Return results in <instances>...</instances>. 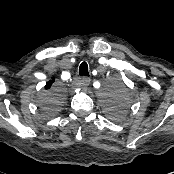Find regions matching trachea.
I'll return each mask as SVG.
<instances>
[{"label": "trachea", "instance_id": "obj_1", "mask_svg": "<svg viewBox=\"0 0 174 174\" xmlns=\"http://www.w3.org/2000/svg\"><path fill=\"white\" fill-rule=\"evenodd\" d=\"M79 75L80 76H89L88 65L86 62H82L79 67Z\"/></svg>", "mask_w": 174, "mask_h": 174}]
</instances>
